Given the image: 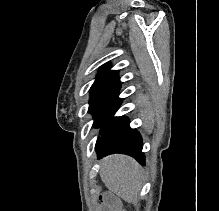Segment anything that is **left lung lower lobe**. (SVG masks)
Listing matches in <instances>:
<instances>
[{"label":"left lung lower lobe","mask_w":219,"mask_h":211,"mask_svg":"<svg viewBox=\"0 0 219 211\" xmlns=\"http://www.w3.org/2000/svg\"><path fill=\"white\" fill-rule=\"evenodd\" d=\"M142 138L140 134L130 128L129 120L123 117L114 129L96 141L98 159L113 153H122L134 157L140 164H145L142 153Z\"/></svg>","instance_id":"1"}]
</instances>
